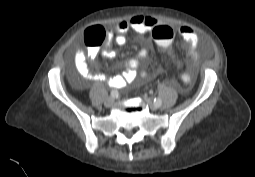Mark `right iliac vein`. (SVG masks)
Wrapping results in <instances>:
<instances>
[{
  "label": "right iliac vein",
  "instance_id": "obj_1",
  "mask_svg": "<svg viewBox=\"0 0 255 177\" xmlns=\"http://www.w3.org/2000/svg\"><path fill=\"white\" fill-rule=\"evenodd\" d=\"M114 102H115V98H113V97H108V98L104 101V106L107 107V108H109V107L113 106Z\"/></svg>",
  "mask_w": 255,
  "mask_h": 177
}]
</instances>
